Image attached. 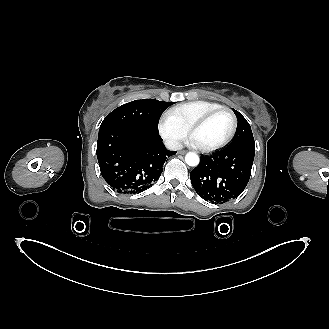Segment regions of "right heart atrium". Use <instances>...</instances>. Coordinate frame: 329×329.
Here are the masks:
<instances>
[{"mask_svg": "<svg viewBox=\"0 0 329 329\" xmlns=\"http://www.w3.org/2000/svg\"><path fill=\"white\" fill-rule=\"evenodd\" d=\"M158 130L165 142L174 149L179 148L187 136V130L168 113L160 118Z\"/></svg>", "mask_w": 329, "mask_h": 329, "instance_id": "d8ad5b80", "label": "right heart atrium"}]
</instances>
